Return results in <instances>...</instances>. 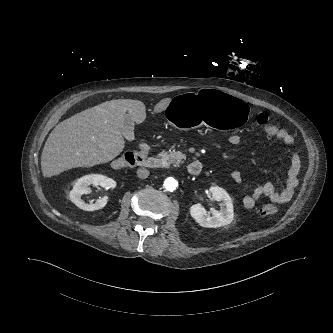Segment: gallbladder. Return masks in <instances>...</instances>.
Masks as SVG:
<instances>
[{"mask_svg":"<svg viewBox=\"0 0 333 333\" xmlns=\"http://www.w3.org/2000/svg\"><path fill=\"white\" fill-rule=\"evenodd\" d=\"M134 124L131 116L126 115L122 123L121 133L129 141L134 140Z\"/></svg>","mask_w":333,"mask_h":333,"instance_id":"gallbladder-1","label":"gallbladder"}]
</instances>
